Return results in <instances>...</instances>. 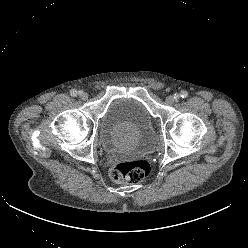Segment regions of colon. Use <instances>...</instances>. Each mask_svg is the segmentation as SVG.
Here are the masks:
<instances>
[{
  "mask_svg": "<svg viewBox=\"0 0 248 248\" xmlns=\"http://www.w3.org/2000/svg\"><path fill=\"white\" fill-rule=\"evenodd\" d=\"M149 172V163L139 159L113 164L110 168V177L116 183H138L145 179Z\"/></svg>",
  "mask_w": 248,
  "mask_h": 248,
  "instance_id": "5ec220e1",
  "label": "colon"
}]
</instances>
